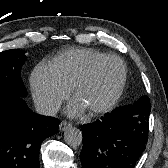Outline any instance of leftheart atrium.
Returning <instances> with one entry per match:
<instances>
[{"instance_id": "1", "label": "left heart atrium", "mask_w": 168, "mask_h": 168, "mask_svg": "<svg viewBox=\"0 0 168 168\" xmlns=\"http://www.w3.org/2000/svg\"><path fill=\"white\" fill-rule=\"evenodd\" d=\"M86 108L83 106L81 102L75 99L67 109V113L70 116H79L84 113Z\"/></svg>"}]
</instances>
